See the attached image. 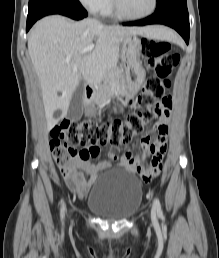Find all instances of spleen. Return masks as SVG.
Wrapping results in <instances>:
<instances>
[{"label":"spleen","mask_w":219,"mask_h":258,"mask_svg":"<svg viewBox=\"0 0 219 258\" xmlns=\"http://www.w3.org/2000/svg\"><path fill=\"white\" fill-rule=\"evenodd\" d=\"M169 33H172V32H170V31H168V30H165V32H164L165 37H166L167 39H174L171 35H169ZM175 38H176V37H175Z\"/></svg>","instance_id":"spleen-1"}]
</instances>
